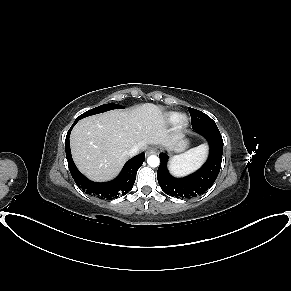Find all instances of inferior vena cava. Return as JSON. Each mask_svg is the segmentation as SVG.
Here are the masks:
<instances>
[{
	"label": "inferior vena cava",
	"instance_id": "obj_1",
	"mask_svg": "<svg viewBox=\"0 0 291 291\" xmlns=\"http://www.w3.org/2000/svg\"><path fill=\"white\" fill-rule=\"evenodd\" d=\"M139 147L138 146H133L129 151H128V155L129 156H134L139 152Z\"/></svg>",
	"mask_w": 291,
	"mask_h": 291
}]
</instances>
